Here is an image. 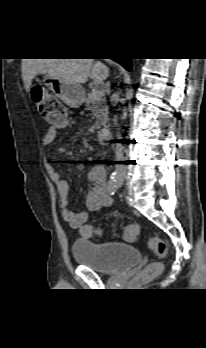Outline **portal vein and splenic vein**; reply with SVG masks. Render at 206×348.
Here are the masks:
<instances>
[{"instance_id": "portal-vein-and-splenic-vein-1", "label": "portal vein and splenic vein", "mask_w": 206, "mask_h": 348, "mask_svg": "<svg viewBox=\"0 0 206 348\" xmlns=\"http://www.w3.org/2000/svg\"><path fill=\"white\" fill-rule=\"evenodd\" d=\"M104 92H105V91H104L103 88H101V87H95V88H93V90H92V96H93V98H94L95 100H98V99H100V98L103 97Z\"/></svg>"}]
</instances>
